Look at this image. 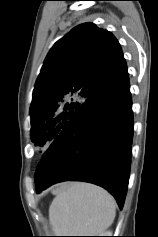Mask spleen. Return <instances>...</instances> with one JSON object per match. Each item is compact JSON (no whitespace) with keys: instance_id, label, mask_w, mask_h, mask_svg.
<instances>
[{"instance_id":"1","label":"spleen","mask_w":158,"mask_h":237,"mask_svg":"<svg viewBox=\"0 0 158 237\" xmlns=\"http://www.w3.org/2000/svg\"><path fill=\"white\" fill-rule=\"evenodd\" d=\"M116 214L114 198L93 184L74 182L61 189L49 207L56 236H98Z\"/></svg>"}]
</instances>
